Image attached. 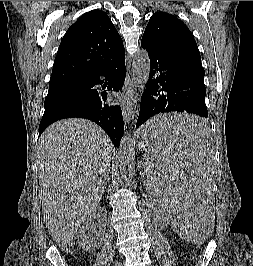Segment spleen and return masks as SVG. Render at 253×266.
<instances>
[{
  "label": "spleen",
  "mask_w": 253,
  "mask_h": 266,
  "mask_svg": "<svg viewBox=\"0 0 253 266\" xmlns=\"http://www.w3.org/2000/svg\"><path fill=\"white\" fill-rule=\"evenodd\" d=\"M206 115L201 111H163L149 117L139 161L144 187L166 210L172 229H178L182 242H207L215 235L211 216L214 176V141H208Z\"/></svg>",
  "instance_id": "3e777b00"
}]
</instances>
